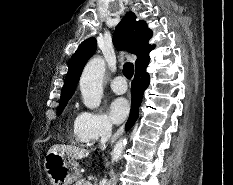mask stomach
<instances>
[{
	"label": "stomach",
	"instance_id": "0dacf381",
	"mask_svg": "<svg viewBox=\"0 0 233 185\" xmlns=\"http://www.w3.org/2000/svg\"><path fill=\"white\" fill-rule=\"evenodd\" d=\"M44 169L52 185H71L80 176L75 160L54 152L47 153Z\"/></svg>",
	"mask_w": 233,
	"mask_h": 185
}]
</instances>
